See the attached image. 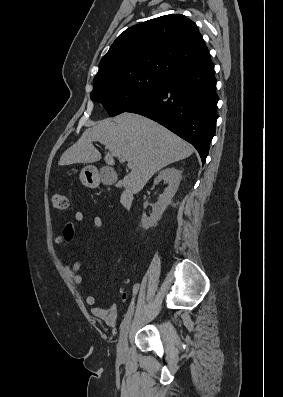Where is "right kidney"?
Masks as SVG:
<instances>
[{
  "label": "right kidney",
  "instance_id": "obj_1",
  "mask_svg": "<svg viewBox=\"0 0 283 397\" xmlns=\"http://www.w3.org/2000/svg\"><path fill=\"white\" fill-rule=\"evenodd\" d=\"M161 180H167L169 185L165 188L164 193L159 196L150 216H142V227L146 230L157 224L166 207L171 203L180 184L181 172L174 167L166 168L154 179V184H158Z\"/></svg>",
  "mask_w": 283,
  "mask_h": 397
}]
</instances>
